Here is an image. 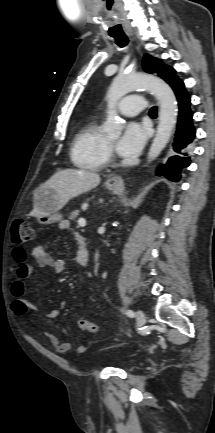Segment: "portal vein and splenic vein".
<instances>
[{
  "label": "portal vein and splenic vein",
  "instance_id": "obj_1",
  "mask_svg": "<svg viewBox=\"0 0 215 433\" xmlns=\"http://www.w3.org/2000/svg\"><path fill=\"white\" fill-rule=\"evenodd\" d=\"M78 224H79V226H81V227H85V226H86V220H85L84 218H80V219L78 220Z\"/></svg>",
  "mask_w": 215,
  "mask_h": 433
}]
</instances>
